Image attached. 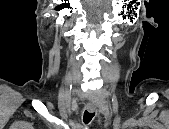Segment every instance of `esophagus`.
Listing matches in <instances>:
<instances>
[{
    "label": "esophagus",
    "instance_id": "1",
    "mask_svg": "<svg viewBox=\"0 0 169 129\" xmlns=\"http://www.w3.org/2000/svg\"><path fill=\"white\" fill-rule=\"evenodd\" d=\"M86 110H88L89 112H95L96 108L93 105H86L85 106Z\"/></svg>",
    "mask_w": 169,
    "mask_h": 129
}]
</instances>
